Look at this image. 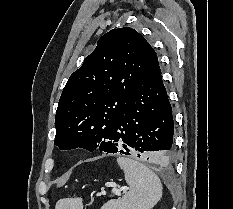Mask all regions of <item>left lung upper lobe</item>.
<instances>
[{"instance_id":"5c2ea615","label":"left lung upper lobe","mask_w":233,"mask_h":209,"mask_svg":"<svg viewBox=\"0 0 233 209\" xmlns=\"http://www.w3.org/2000/svg\"><path fill=\"white\" fill-rule=\"evenodd\" d=\"M156 56L130 27L103 35L65 85L56 111L54 144L61 150L101 151L111 124Z\"/></svg>"}]
</instances>
